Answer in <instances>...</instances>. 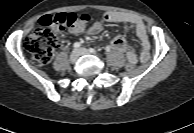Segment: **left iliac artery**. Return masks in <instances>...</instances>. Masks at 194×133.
I'll return each instance as SVG.
<instances>
[{"mask_svg":"<svg viewBox=\"0 0 194 133\" xmlns=\"http://www.w3.org/2000/svg\"><path fill=\"white\" fill-rule=\"evenodd\" d=\"M89 50H90L91 53H96V50L93 49V48H90Z\"/></svg>","mask_w":194,"mask_h":133,"instance_id":"1","label":"left iliac artery"}]
</instances>
